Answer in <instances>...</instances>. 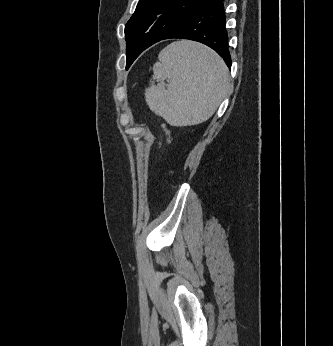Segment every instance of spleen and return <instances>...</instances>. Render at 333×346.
Instances as JSON below:
<instances>
[{
	"mask_svg": "<svg viewBox=\"0 0 333 346\" xmlns=\"http://www.w3.org/2000/svg\"><path fill=\"white\" fill-rule=\"evenodd\" d=\"M153 73V81L145 91L146 102L173 125H196L208 120L230 86L228 68L221 57L192 41H176L165 47Z\"/></svg>",
	"mask_w": 333,
	"mask_h": 346,
	"instance_id": "1",
	"label": "spleen"
}]
</instances>
